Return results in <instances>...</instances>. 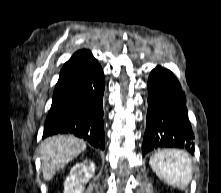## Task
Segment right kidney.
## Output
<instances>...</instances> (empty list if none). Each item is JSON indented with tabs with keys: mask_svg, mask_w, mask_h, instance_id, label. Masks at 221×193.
Wrapping results in <instances>:
<instances>
[{
	"mask_svg": "<svg viewBox=\"0 0 221 193\" xmlns=\"http://www.w3.org/2000/svg\"><path fill=\"white\" fill-rule=\"evenodd\" d=\"M95 164L90 162L89 165L77 163L70 171L69 176L64 182V193H83L84 184L93 176Z\"/></svg>",
	"mask_w": 221,
	"mask_h": 193,
	"instance_id": "obj_1",
	"label": "right kidney"
}]
</instances>
